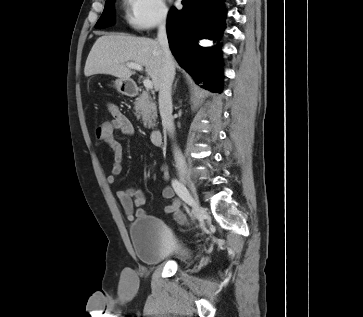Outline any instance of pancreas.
I'll return each instance as SVG.
<instances>
[{"instance_id":"1","label":"pancreas","mask_w":363,"mask_h":317,"mask_svg":"<svg viewBox=\"0 0 363 317\" xmlns=\"http://www.w3.org/2000/svg\"><path fill=\"white\" fill-rule=\"evenodd\" d=\"M135 115L137 118L142 117L144 126L154 128L157 118V109L148 92L143 93L134 102Z\"/></svg>"}]
</instances>
